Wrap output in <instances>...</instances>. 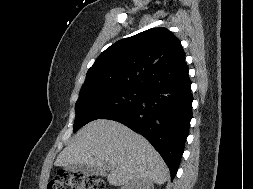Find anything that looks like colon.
Wrapping results in <instances>:
<instances>
[{
	"mask_svg": "<svg viewBox=\"0 0 253 189\" xmlns=\"http://www.w3.org/2000/svg\"><path fill=\"white\" fill-rule=\"evenodd\" d=\"M47 189H106L102 179L78 172L58 171Z\"/></svg>",
	"mask_w": 253,
	"mask_h": 189,
	"instance_id": "1",
	"label": "colon"
}]
</instances>
